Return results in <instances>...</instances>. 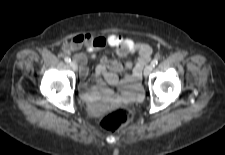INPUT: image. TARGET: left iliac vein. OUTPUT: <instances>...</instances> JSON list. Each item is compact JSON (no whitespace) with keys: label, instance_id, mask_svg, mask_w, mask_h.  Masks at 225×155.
<instances>
[{"label":"left iliac vein","instance_id":"4c4485c4","mask_svg":"<svg viewBox=\"0 0 225 155\" xmlns=\"http://www.w3.org/2000/svg\"><path fill=\"white\" fill-rule=\"evenodd\" d=\"M152 70H153V66L151 64L147 65L144 69V76L147 77Z\"/></svg>","mask_w":225,"mask_h":155}]
</instances>
